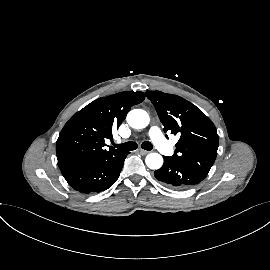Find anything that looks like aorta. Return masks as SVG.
I'll use <instances>...</instances> for the list:
<instances>
[{
  "label": "aorta",
  "instance_id": "obj_1",
  "mask_svg": "<svg viewBox=\"0 0 270 270\" xmlns=\"http://www.w3.org/2000/svg\"><path fill=\"white\" fill-rule=\"evenodd\" d=\"M126 119L129 126L135 129L147 127L150 121L148 113L142 109L131 110ZM145 162L150 169L156 170L162 166L163 158L158 153H150L146 156Z\"/></svg>",
  "mask_w": 270,
  "mask_h": 270
}]
</instances>
